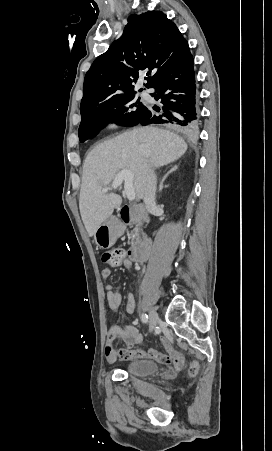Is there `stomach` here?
I'll return each mask as SVG.
<instances>
[{
  "instance_id": "stomach-1",
  "label": "stomach",
  "mask_w": 272,
  "mask_h": 451,
  "mask_svg": "<svg viewBox=\"0 0 272 451\" xmlns=\"http://www.w3.org/2000/svg\"><path fill=\"white\" fill-rule=\"evenodd\" d=\"M94 239L96 245L103 247V249H108V247L114 245L117 235L113 227L109 226L108 222H105V224H101V226L97 227L94 233Z\"/></svg>"
}]
</instances>
